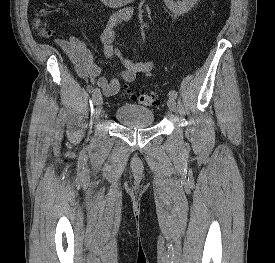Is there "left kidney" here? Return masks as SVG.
Here are the masks:
<instances>
[{
    "label": "left kidney",
    "instance_id": "1",
    "mask_svg": "<svg viewBox=\"0 0 275 263\" xmlns=\"http://www.w3.org/2000/svg\"><path fill=\"white\" fill-rule=\"evenodd\" d=\"M167 8L174 14L181 15L187 13L197 2V0H164Z\"/></svg>",
    "mask_w": 275,
    "mask_h": 263
}]
</instances>
